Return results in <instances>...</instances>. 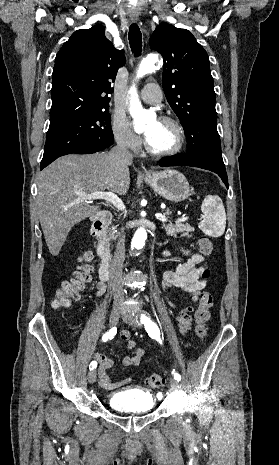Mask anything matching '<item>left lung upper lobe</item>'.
Returning <instances> with one entry per match:
<instances>
[{
  "label": "left lung upper lobe",
  "instance_id": "left-lung-upper-lobe-1",
  "mask_svg": "<svg viewBox=\"0 0 279 465\" xmlns=\"http://www.w3.org/2000/svg\"><path fill=\"white\" fill-rule=\"evenodd\" d=\"M150 46L164 58L162 84L168 103L183 125L186 153L225 167L216 127L214 83L206 51L190 31L168 23L156 27Z\"/></svg>",
  "mask_w": 279,
  "mask_h": 465
}]
</instances>
